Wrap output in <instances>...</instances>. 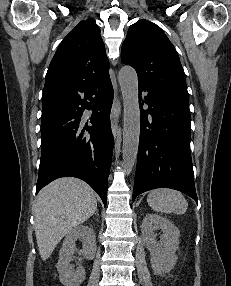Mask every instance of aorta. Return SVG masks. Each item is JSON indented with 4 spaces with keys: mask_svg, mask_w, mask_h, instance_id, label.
<instances>
[{
    "mask_svg": "<svg viewBox=\"0 0 231 286\" xmlns=\"http://www.w3.org/2000/svg\"><path fill=\"white\" fill-rule=\"evenodd\" d=\"M119 84L123 97V167L130 173L135 165L140 137V108L138 97V77L130 66L119 71Z\"/></svg>",
    "mask_w": 231,
    "mask_h": 286,
    "instance_id": "aorta-1",
    "label": "aorta"
}]
</instances>
